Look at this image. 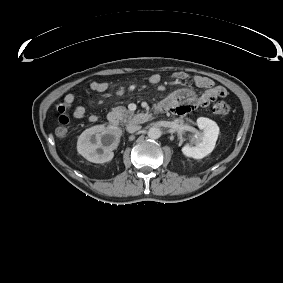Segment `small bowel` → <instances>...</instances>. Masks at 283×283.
I'll return each instance as SVG.
<instances>
[{"label": "small bowel", "mask_w": 283, "mask_h": 283, "mask_svg": "<svg viewBox=\"0 0 283 283\" xmlns=\"http://www.w3.org/2000/svg\"><path fill=\"white\" fill-rule=\"evenodd\" d=\"M188 74L185 72H176L173 75V81L175 83H181L188 78ZM148 81L152 84H160L161 77L157 73H152L148 76ZM194 85L201 89V93H196L192 88L178 89L169 94L161 105L164 109L170 108L177 115H185L195 108L207 107L218 98H224L227 95V91L222 86H216L214 81L209 77L196 75L193 78ZM109 83L103 81H93L90 84V88L95 92H104L108 89ZM76 98L74 94H66L63 101L57 104V110L60 114V120L67 118V110L73 107L72 116L75 119H81L86 116V108L83 105H74ZM89 121L95 122L98 120L96 114H92L88 117Z\"/></svg>", "instance_id": "obj_1"}]
</instances>
